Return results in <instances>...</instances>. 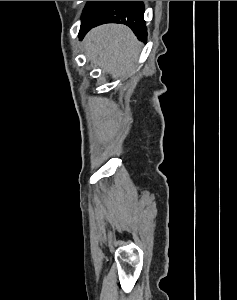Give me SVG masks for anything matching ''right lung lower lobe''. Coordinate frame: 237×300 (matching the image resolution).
I'll list each match as a JSON object with an SVG mask.
<instances>
[{
    "mask_svg": "<svg viewBox=\"0 0 237 300\" xmlns=\"http://www.w3.org/2000/svg\"><path fill=\"white\" fill-rule=\"evenodd\" d=\"M143 14L144 4L142 1H116L99 20L80 29L79 37L82 39L91 28L104 23H122L129 26L139 40L145 41L147 30Z\"/></svg>",
    "mask_w": 237,
    "mask_h": 300,
    "instance_id": "1",
    "label": "right lung lower lobe"
}]
</instances>
